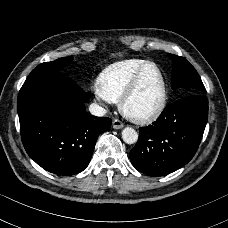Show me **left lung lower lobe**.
Masks as SVG:
<instances>
[{"label":"left lung lower lobe","mask_w":228,"mask_h":228,"mask_svg":"<svg viewBox=\"0 0 228 228\" xmlns=\"http://www.w3.org/2000/svg\"><path fill=\"white\" fill-rule=\"evenodd\" d=\"M208 119L205 94H192L168 105L152 125L139 129L130 151L132 165L149 176H164L195 155Z\"/></svg>","instance_id":"obj_1"}]
</instances>
